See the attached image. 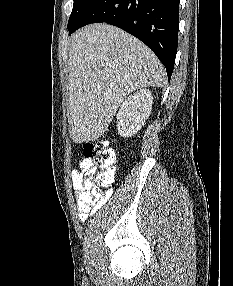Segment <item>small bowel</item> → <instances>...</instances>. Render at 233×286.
<instances>
[{
    "mask_svg": "<svg viewBox=\"0 0 233 286\" xmlns=\"http://www.w3.org/2000/svg\"><path fill=\"white\" fill-rule=\"evenodd\" d=\"M79 167L80 170L71 171L70 182L76 197L78 218L80 221H84L106 203L110 197V192L94 186L88 173L91 168V163L88 160L81 159Z\"/></svg>",
    "mask_w": 233,
    "mask_h": 286,
    "instance_id": "1",
    "label": "small bowel"
}]
</instances>
